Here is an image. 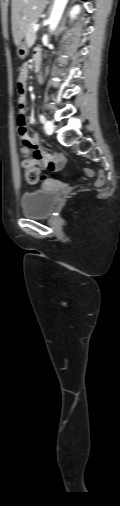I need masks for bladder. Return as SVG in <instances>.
<instances>
[{"mask_svg":"<svg viewBox=\"0 0 120 506\" xmlns=\"http://www.w3.org/2000/svg\"><path fill=\"white\" fill-rule=\"evenodd\" d=\"M57 198L52 189H38L25 192L21 197V211L26 217L38 218L51 214Z\"/></svg>","mask_w":120,"mask_h":506,"instance_id":"obj_1","label":"bladder"}]
</instances>
